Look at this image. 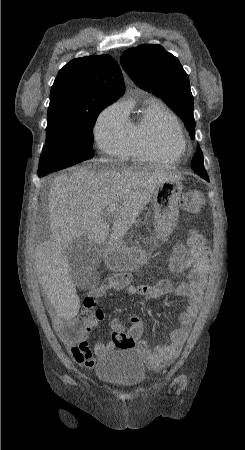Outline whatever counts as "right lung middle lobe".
Wrapping results in <instances>:
<instances>
[{
	"mask_svg": "<svg viewBox=\"0 0 245 450\" xmlns=\"http://www.w3.org/2000/svg\"><path fill=\"white\" fill-rule=\"evenodd\" d=\"M110 104H96L89 111L48 114L46 150L41 154L38 173L48 174L91 159L93 124Z\"/></svg>",
	"mask_w": 245,
	"mask_h": 450,
	"instance_id": "right-lung-middle-lobe-1",
	"label": "right lung middle lobe"
}]
</instances>
